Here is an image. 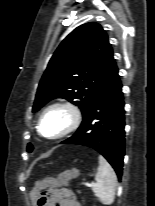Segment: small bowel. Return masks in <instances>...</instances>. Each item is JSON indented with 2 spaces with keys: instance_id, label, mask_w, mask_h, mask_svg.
Here are the masks:
<instances>
[{
  "instance_id": "1",
  "label": "small bowel",
  "mask_w": 155,
  "mask_h": 206,
  "mask_svg": "<svg viewBox=\"0 0 155 206\" xmlns=\"http://www.w3.org/2000/svg\"><path fill=\"white\" fill-rule=\"evenodd\" d=\"M38 191L36 189L34 194ZM42 206H80V204L69 190L63 187H56L46 192V201Z\"/></svg>"
}]
</instances>
